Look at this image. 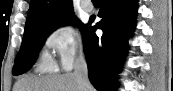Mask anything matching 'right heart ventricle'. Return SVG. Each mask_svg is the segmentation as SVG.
<instances>
[{
	"mask_svg": "<svg viewBox=\"0 0 173 91\" xmlns=\"http://www.w3.org/2000/svg\"><path fill=\"white\" fill-rule=\"evenodd\" d=\"M38 66H39V69L42 71H51L54 69V64L50 60V58L47 54L42 55V58H41Z\"/></svg>",
	"mask_w": 173,
	"mask_h": 91,
	"instance_id": "1",
	"label": "right heart ventricle"
}]
</instances>
